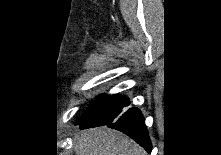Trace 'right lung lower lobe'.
<instances>
[{
    "mask_svg": "<svg viewBox=\"0 0 221 155\" xmlns=\"http://www.w3.org/2000/svg\"><path fill=\"white\" fill-rule=\"evenodd\" d=\"M128 105L129 100L124 96H103L99 106L80 124V128L107 125L127 134L146 151L151 152L152 146L144 117L137 108L126 111Z\"/></svg>",
    "mask_w": 221,
    "mask_h": 155,
    "instance_id": "right-lung-lower-lobe-1",
    "label": "right lung lower lobe"
}]
</instances>
